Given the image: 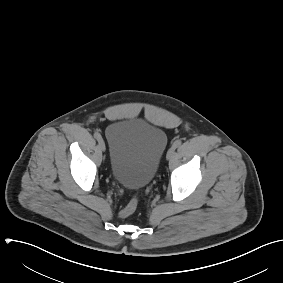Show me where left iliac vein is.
Returning a JSON list of instances; mask_svg holds the SVG:
<instances>
[{"label": "left iliac vein", "instance_id": "4c4485c4", "mask_svg": "<svg viewBox=\"0 0 283 283\" xmlns=\"http://www.w3.org/2000/svg\"><path fill=\"white\" fill-rule=\"evenodd\" d=\"M174 153H175V148L172 146V147L169 148V150L167 151L166 158H167L168 160H170V159L173 157Z\"/></svg>", "mask_w": 283, "mask_h": 283}]
</instances>
